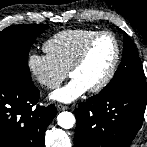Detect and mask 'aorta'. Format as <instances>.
Here are the masks:
<instances>
[{"label":"aorta","instance_id":"1","mask_svg":"<svg viewBox=\"0 0 147 147\" xmlns=\"http://www.w3.org/2000/svg\"><path fill=\"white\" fill-rule=\"evenodd\" d=\"M58 125L64 129H70L75 124V117L71 112H61L57 117Z\"/></svg>","mask_w":147,"mask_h":147}]
</instances>
